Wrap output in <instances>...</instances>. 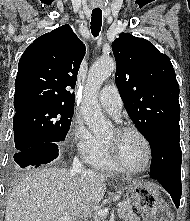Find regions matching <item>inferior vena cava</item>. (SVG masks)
<instances>
[{
  "instance_id": "inferior-vena-cava-1",
  "label": "inferior vena cava",
  "mask_w": 190,
  "mask_h": 221,
  "mask_svg": "<svg viewBox=\"0 0 190 221\" xmlns=\"http://www.w3.org/2000/svg\"><path fill=\"white\" fill-rule=\"evenodd\" d=\"M93 171L87 170L83 164L78 160V158H74L73 166L71 169L72 175L86 176L93 174Z\"/></svg>"
}]
</instances>
